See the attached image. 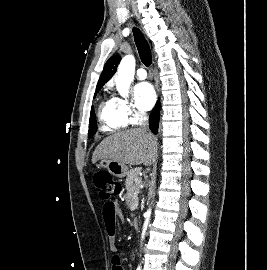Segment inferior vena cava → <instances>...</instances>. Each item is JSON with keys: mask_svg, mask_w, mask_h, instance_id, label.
I'll return each instance as SVG.
<instances>
[{"mask_svg": "<svg viewBox=\"0 0 267 270\" xmlns=\"http://www.w3.org/2000/svg\"><path fill=\"white\" fill-rule=\"evenodd\" d=\"M140 127L143 130H148V118L146 116V114H143L141 121H140Z\"/></svg>", "mask_w": 267, "mask_h": 270, "instance_id": "obj_1", "label": "inferior vena cava"}]
</instances>
